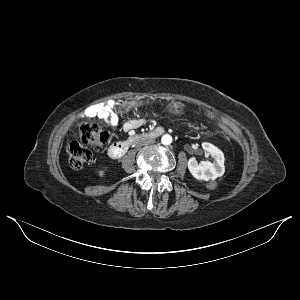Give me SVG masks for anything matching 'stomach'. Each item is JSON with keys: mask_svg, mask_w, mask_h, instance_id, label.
Masks as SVG:
<instances>
[{"mask_svg": "<svg viewBox=\"0 0 300 300\" xmlns=\"http://www.w3.org/2000/svg\"><path fill=\"white\" fill-rule=\"evenodd\" d=\"M132 102H129V101H125L123 102L122 104H120V109L122 111H125V112H128L129 111V107H130V104ZM147 103H149L147 101ZM167 111L171 112V113H175V114H180V113H183L184 111V106L180 103H170L167 107H166Z\"/></svg>", "mask_w": 300, "mask_h": 300, "instance_id": "0dacf381", "label": "stomach"}]
</instances>
